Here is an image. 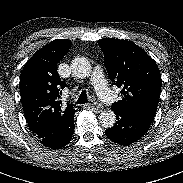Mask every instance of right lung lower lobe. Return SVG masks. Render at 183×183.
I'll use <instances>...</instances> for the list:
<instances>
[{
  "mask_svg": "<svg viewBox=\"0 0 183 183\" xmlns=\"http://www.w3.org/2000/svg\"><path fill=\"white\" fill-rule=\"evenodd\" d=\"M74 133V125L65 132L45 134L43 132L35 134L38 141H40L44 146L52 149L61 148L67 145L72 139Z\"/></svg>",
  "mask_w": 183,
  "mask_h": 183,
  "instance_id": "98d812e1",
  "label": "right lung lower lobe"
}]
</instances>
